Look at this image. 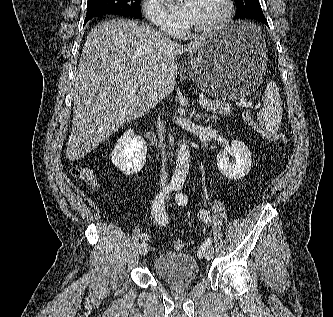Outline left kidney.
<instances>
[{"instance_id":"1","label":"left kidney","mask_w":333,"mask_h":317,"mask_svg":"<svg viewBox=\"0 0 333 317\" xmlns=\"http://www.w3.org/2000/svg\"><path fill=\"white\" fill-rule=\"evenodd\" d=\"M233 156V160L229 159ZM251 153L249 148L241 141L234 140L231 147L226 148L217 155V167L229 179L239 180L247 175L251 168Z\"/></svg>"}]
</instances>
